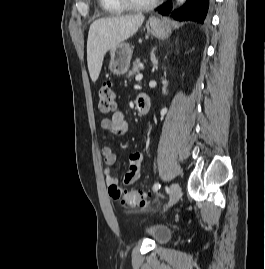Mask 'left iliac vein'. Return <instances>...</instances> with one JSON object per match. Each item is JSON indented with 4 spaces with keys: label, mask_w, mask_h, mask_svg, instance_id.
<instances>
[{
    "label": "left iliac vein",
    "mask_w": 265,
    "mask_h": 269,
    "mask_svg": "<svg viewBox=\"0 0 265 269\" xmlns=\"http://www.w3.org/2000/svg\"><path fill=\"white\" fill-rule=\"evenodd\" d=\"M181 196V188L179 184L173 183L170 187V198L166 208L176 204Z\"/></svg>",
    "instance_id": "4c4485c4"
}]
</instances>
